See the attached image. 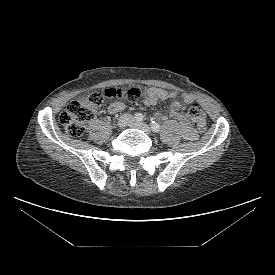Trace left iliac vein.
I'll return each mask as SVG.
<instances>
[{
  "instance_id": "obj_1",
  "label": "left iliac vein",
  "mask_w": 275,
  "mask_h": 275,
  "mask_svg": "<svg viewBox=\"0 0 275 275\" xmlns=\"http://www.w3.org/2000/svg\"><path fill=\"white\" fill-rule=\"evenodd\" d=\"M130 126L133 127V128L140 129V130L146 132L147 134L151 133V128L146 123H144V122H135V121H132L130 123Z\"/></svg>"
}]
</instances>
